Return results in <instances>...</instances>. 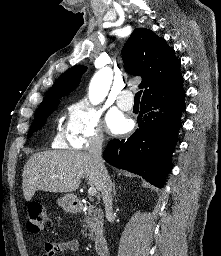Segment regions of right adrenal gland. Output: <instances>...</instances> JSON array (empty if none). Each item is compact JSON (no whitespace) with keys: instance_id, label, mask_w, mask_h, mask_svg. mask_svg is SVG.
Wrapping results in <instances>:
<instances>
[{"instance_id":"2a0ac1e0","label":"right adrenal gland","mask_w":221,"mask_h":256,"mask_svg":"<svg viewBox=\"0 0 221 256\" xmlns=\"http://www.w3.org/2000/svg\"><path fill=\"white\" fill-rule=\"evenodd\" d=\"M113 195L116 196L115 183L113 182Z\"/></svg>"}]
</instances>
